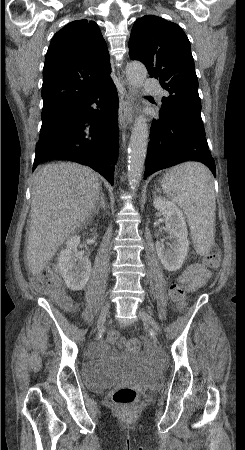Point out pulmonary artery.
Segmentation results:
<instances>
[{
    "mask_svg": "<svg viewBox=\"0 0 245 450\" xmlns=\"http://www.w3.org/2000/svg\"><path fill=\"white\" fill-rule=\"evenodd\" d=\"M142 85L145 93H159V86L154 79L146 78Z\"/></svg>",
    "mask_w": 245,
    "mask_h": 450,
    "instance_id": "e3ab8cb5",
    "label": "pulmonary artery"
}]
</instances>
